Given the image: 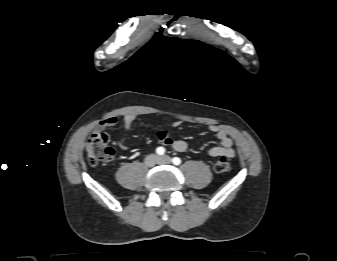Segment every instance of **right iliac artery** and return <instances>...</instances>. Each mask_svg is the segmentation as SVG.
Instances as JSON below:
<instances>
[{
    "instance_id": "82829eb1",
    "label": "right iliac artery",
    "mask_w": 337,
    "mask_h": 261,
    "mask_svg": "<svg viewBox=\"0 0 337 261\" xmlns=\"http://www.w3.org/2000/svg\"><path fill=\"white\" fill-rule=\"evenodd\" d=\"M156 153H157L158 155H163V154L165 153V149H164L163 147H158V148L156 149Z\"/></svg>"
}]
</instances>
